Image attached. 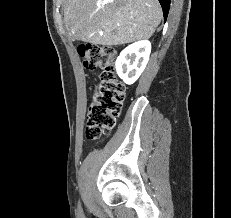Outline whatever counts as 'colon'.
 <instances>
[{"instance_id":"obj_1","label":"colon","mask_w":231,"mask_h":218,"mask_svg":"<svg viewBox=\"0 0 231 218\" xmlns=\"http://www.w3.org/2000/svg\"><path fill=\"white\" fill-rule=\"evenodd\" d=\"M78 53L87 70H101L100 81L93 89L86 117L87 138L98 140L114 127L121 113L126 88L115 73L116 51L113 47L82 44Z\"/></svg>"}]
</instances>
